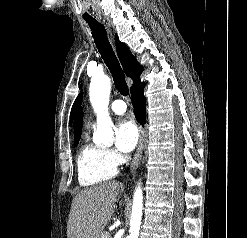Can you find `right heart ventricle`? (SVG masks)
Instances as JSON below:
<instances>
[{
    "label": "right heart ventricle",
    "mask_w": 247,
    "mask_h": 238,
    "mask_svg": "<svg viewBox=\"0 0 247 238\" xmlns=\"http://www.w3.org/2000/svg\"><path fill=\"white\" fill-rule=\"evenodd\" d=\"M77 174L81 186H94L113 178L117 166L112 164L106 150L93 144L86 134L77 155Z\"/></svg>",
    "instance_id": "e07e8e85"
}]
</instances>
